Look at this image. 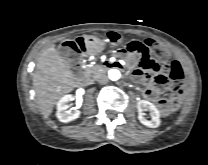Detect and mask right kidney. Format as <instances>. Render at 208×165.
Wrapping results in <instances>:
<instances>
[{
  "label": "right kidney",
  "instance_id": "right-kidney-1",
  "mask_svg": "<svg viewBox=\"0 0 208 165\" xmlns=\"http://www.w3.org/2000/svg\"><path fill=\"white\" fill-rule=\"evenodd\" d=\"M84 94V89H78L76 93V109L74 111L68 110L69 108V102L74 99V96L72 94L64 95L57 103V112L56 116L59 119V121L63 123H67L70 121H73L80 116V111L78 108L82 104V96Z\"/></svg>",
  "mask_w": 208,
  "mask_h": 165
}]
</instances>
